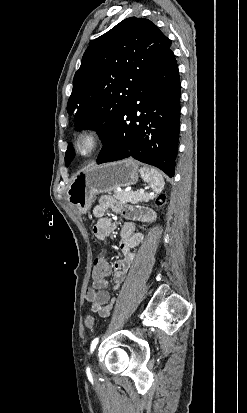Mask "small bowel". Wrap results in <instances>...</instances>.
<instances>
[{
  "label": "small bowel",
  "mask_w": 247,
  "mask_h": 413,
  "mask_svg": "<svg viewBox=\"0 0 247 413\" xmlns=\"http://www.w3.org/2000/svg\"><path fill=\"white\" fill-rule=\"evenodd\" d=\"M110 210L114 214L123 212L128 218V222L121 230L120 251L122 257L109 264L110 274H113V289L117 290L123 284L126 273L131 269L135 260L133 248L141 244L144 240L142 233L135 232L136 221H145L149 218L150 212L142 208L122 206L111 196L103 195L92 210L93 216L98 220L94 226V232L99 238L107 237L113 230V224L105 216ZM96 262V261H95ZM93 286L85 291V299L90 303V309L100 317L106 318L113 309L114 302L110 293L106 290L108 282L106 277H92Z\"/></svg>",
  "instance_id": "obj_1"
}]
</instances>
